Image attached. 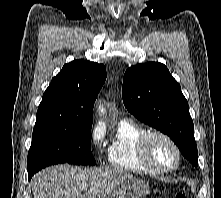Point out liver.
Segmentation results:
<instances>
[{
    "label": "liver",
    "mask_w": 221,
    "mask_h": 198,
    "mask_svg": "<svg viewBox=\"0 0 221 198\" xmlns=\"http://www.w3.org/2000/svg\"><path fill=\"white\" fill-rule=\"evenodd\" d=\"M133 175L119 169H98L56 165L36 174L34 198H105Z\"/></svg>",
    "instance_id": "6515ba94"
}]
</instances>
